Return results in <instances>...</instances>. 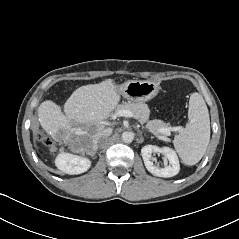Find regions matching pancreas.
Wrapping results in <instances>:
<instances>
[{
  "mask_svg": "<svg viewBox=\"0 0 239 239\" xmlns=\"http://www.w3.org/2000/svg\"><path fill=\"white\" fill-rule=\"evenodd\" d=\"M117 110L131 111L140 124H146L145 127L156 137L162 134L161 129L169 128L168 124L162 120H149L150 110L148 105L143 102H128L118 106Z\"/></svg>",
  "mask_w": 239,
  "mask_h": 239,
  "instance_id": "pancreas-1",
  "label": "pancreas"
}]
</instances>
